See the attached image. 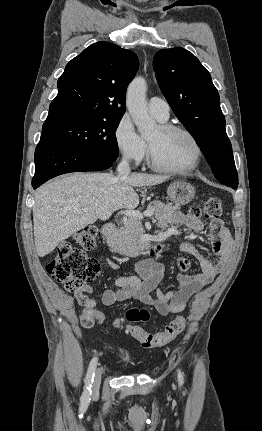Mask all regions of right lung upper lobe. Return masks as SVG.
I'll return each mask as SVG.
<instances>
[{"label": "right lung upper lobe", "mask_w": 262, "mask_h": 431, "mask_svg": "<svg viewBox=\"0 0 262 431\" xmlns=\"http://www.w3.org/2000/svg\"><path fill=\"white\" fill-rule=\"evenodd\" d=\"M139 61L133 51L97 42L72 59L59 77L58 94L43 125L125 113V93Z\"/></svg>", "instance_id": "1"}]
</instances>
